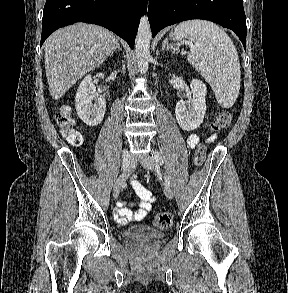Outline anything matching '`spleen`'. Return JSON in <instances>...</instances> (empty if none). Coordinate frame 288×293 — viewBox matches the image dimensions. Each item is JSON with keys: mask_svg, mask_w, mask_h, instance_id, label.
Segmentation results:
<instances>
[{"mask_svg": "<svg viewBox=\"0 0 288 293\" xmlns=\"http://www.w3.org/2000/svg\"><path fill=\"white\" fill-rule=\"evenodd\" d=\"M174 35L177 41L188 38L194 43L187 60L210 84L218 103L231 107L239 94L241 71L230 37L206 20L182 22L175 27Z\"/></svg>", "mask_w": 288, "mask_h": 293, "instance_id": "spleen-1", "label": "spleen"}]
</instances>
